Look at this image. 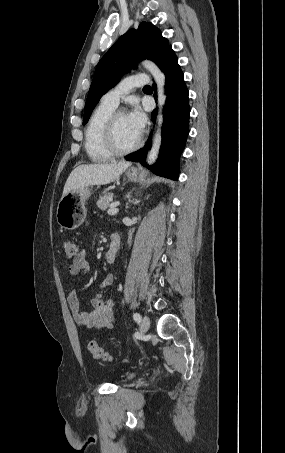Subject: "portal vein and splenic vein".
Instances as JSON below:
<instances>
[{"label":"portal vein and splenic vein","mask_w":285,"mask_h":453,"mask_svg":"<svg viewBox=\"0 0 285 453\" xmlns=\"http://www.w3.org/2000/svg\"><path fill=\"white\" fill-rule=\"evenodd\" d=\"M118 211H119V210H118V208H116V205H115V206H112V207L107 211V213H108L109 215H114V214H116Z\"/></svg>","instance_id":"obj_1"}]
</instances>
